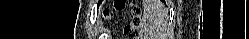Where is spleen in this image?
Listing matches in <instances>:
<instances>
[{"label": "spleen", "mask_w": 249, "mask_h": 39, "mask_svg": "<svg viewBox=\"0 0 249 39\" xmlns=\"http://www.w3.org/2000/svg\"><path fill=\"white\" fill-rule=\"evenodd\" d=\"M141 37L143 39H166L170 34L167 9L160 0L143 2Z\"/></svg>", "instance_id": "3e777b00"}]
</instances>
